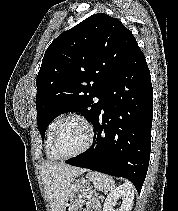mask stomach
<instances>
[{
	"instance_id": "obj_1",
	"label": "stomach",
	"mask_w": 178,
	"mask_h": 211,
	"mask_svg": "<svg viewBox=\"0 0 178 211\" xmlns=\"http://www.w3.org/2000/svg\"><path fill=\"white\" fill-rule=\"evenodd\" d=\"M91 188L88 180L79 179L74 181L68 190L67 201L63 211H78L85 204Z\"/></svg>"
}]
</instances>
